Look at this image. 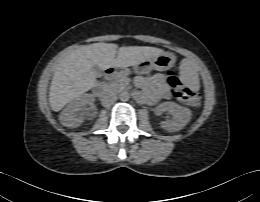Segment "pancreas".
Here are the masks:
<instances>
[{
  "mask_svg": "<svg viewBox=\"0 0 260 202\" xmlns=\"http://www.w3.org/2000/svg\"><path fill=\"white\" fill-rule=\"evenodd\" d=\"M124 85L123 80H120L118 83H112V84H104V87L107 91H118L122 86Z\"/></svg>",
  "mask_w": 260,
  "mask_h": 202,
  "instance_id": "1",
  "label": "pancreas"
}]
</instances>
